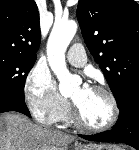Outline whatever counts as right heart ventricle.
<instances>
[{
	"mask_svg": "<svg viewBox=\"0 0 139 150\" xmlns=\"http://www.w3.org/2000/svg\"><path fill=\"white\" fill-rule=\"evenodd\" d=\"M66 123H71L72 122V119L71 117L69 116L68 112L63 116L62 118Z\"/></svg>",
	"mask_w": 139,
	"mask_h": 150,
	"instance_id": "obj_1",
	"label": "right heart ventricle"
}]
</instances>
